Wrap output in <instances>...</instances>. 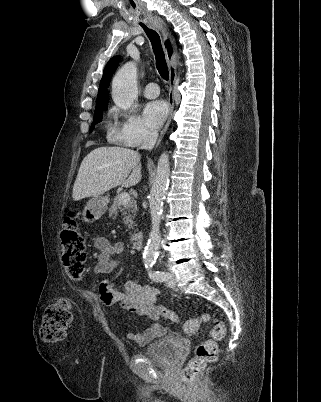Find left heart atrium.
<instances>
[{
	"label": "left heart atrium",
	"mask_w": 321,
	"mask_h": 402,
	"mask_svg": "<svg viewBox=\"0 0 321 402\" xmlns=\"http://www.w3.org/2000/svg\"><path fill=\"white\" fill-rule=\"evenodd\" d=\"M168 114V106L162 100L151 101L144 108V119L152 130H157Z\"/></svg>",
	"instance_id": "left-heart-atrium-1"
}]
</instances>
